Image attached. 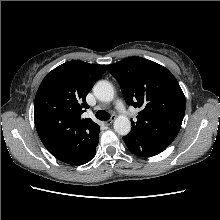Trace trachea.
Here are the masks:
<instances>
[{"instance_id":"obj_1","label":"trachea","mask_w":220,"mask_h":220,"mask_svg":"<svg viewBox=\"0 0 220 220\" xmlns=\"http://www.w3.org/2000/svg\"><path fill=\"white\" fill-rule=\"evenodd\" d=\"M96 118L99 120H109L110 119V114L107 113L106 111L98 110L96 112Z\"/></svg>"}]
</instances>
